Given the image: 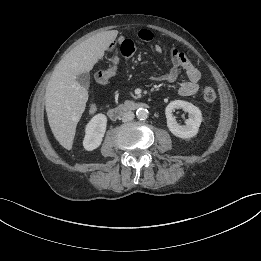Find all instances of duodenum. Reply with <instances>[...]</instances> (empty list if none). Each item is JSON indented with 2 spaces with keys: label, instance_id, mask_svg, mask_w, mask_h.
Masks as SVG:
<instances>
[{
  "label": "duodenum",
  "instance_id": "duodenum-1",
  "mask_svg": "<svg viewBox=\"0 0 261 261\" xmlns=\"http://www.w3.org/2000/svg\"><path fill=\"white\" fill-rule=\"evenodd\" d=\"M144 107H146L144 103L127 102L120 106L111 108L108 112V115L112 120H117L126 112L134 111Z\"/></svg>",
  "mask_w": 261,
  "mask_h": 261
}]
</instances>
